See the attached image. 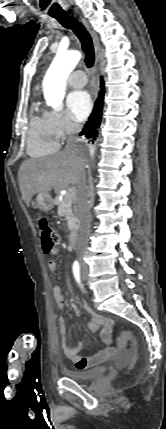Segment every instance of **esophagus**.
I'll list each match as a JSON object with an SVG mask.
<instances>
[{
    "label": "esophagus",
    "instance_id": "obj_1",
    "mask_svg": "<svg viewBox=\"0 0 166 429\" xmlns=\"http://www.w3.org/2000/svg\"><path fill=\"white\" fill-rule=\"evenodd\" d=\"M74 16L77 17V14H74ZM78 19H79V21L82 22V24L88 30V32L90 33V35H91V37L93 39L94 48H95V64H94V69L97 70L98 63H99V60H100V52H101V48H100L98 36L95 33V31L90 27V25L88 24V22L86 21L85 18H83L82 16H79Z\"/></svg>",
    "mask_w": 166,
    "mask_h": 429
}]
</instances>
